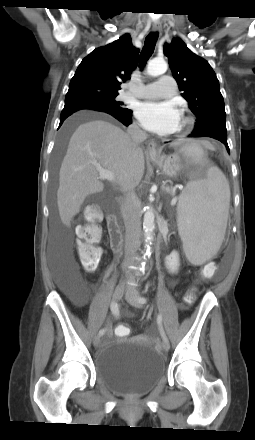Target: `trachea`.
I'll return each instance as SVG.
<instances>
[{
  "label": "trachea",
  "mask_w": 255,
  "mask_h": 440,
  "mask_svg": "<svg viewBox=\"0 0 255 440\" xmlns=\"http://www.w3.org/2000/svg\"><path fill=\"white\" fill-rule=\"evenodd\" d=\"M157 38H158V33L157 32L150 33L146 37L145 43H144V47H143V49L141 51L140 59H139V64H140L139 66H140L141 69L145 66L147 60L153 54Z\"/></svg>",
  "instance_id": "1"
}]
</instances>
